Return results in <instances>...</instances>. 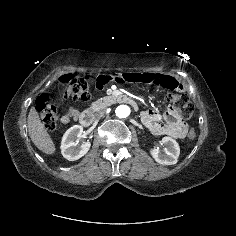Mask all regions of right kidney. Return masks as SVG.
Instances as JSON below:
<instances>
[{
    "mask_svg": "<svg viewBox=\"0 0 236 236\" xmlns=\"http://www.w3.org/2000/svg\"><path fill=\"white\" fill-rule=\"evenodd\" d=\"M83 133V127L74 125L69 128L62 137L61 152L64 158L69 161L77 160L83 157L90 149L91 143L89 141L77 146L76 140Z\"/></svg>",
    "mask_w": 236,
    "mask_h": 236,
    "instance_id": "obj_1",
    "label": "right kidney"
}]
</instances>
